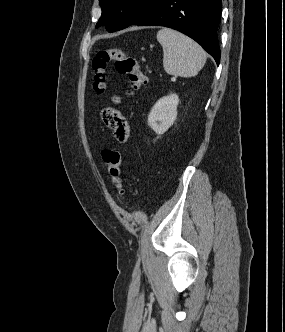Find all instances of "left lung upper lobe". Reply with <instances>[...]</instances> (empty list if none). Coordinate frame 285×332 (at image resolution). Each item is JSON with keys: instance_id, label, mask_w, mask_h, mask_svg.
Listing matches in <instances>:
<instances>
[{"instance_id": "1", "label": "left lung upper lobe", "mask_w": 285, "mask_h": 332, "mask_svg": "<svg viewBox=\"0 0 285 332\" xmlns=\"http://www.w3.org/2000/svg\"><path fill=\"white\" fill-rule=\"evenodd\" d=\"M155 0H99L102 15L97 27L106 24L109 32L124 29L136 21Z\"/></svg>"}]
</instances>
